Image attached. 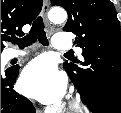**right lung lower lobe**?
Segmentation results:
<instances>
[{
  "label": "right lung lower lobe",
  "instance_id": "98d812e1",
  "mask_svg": "<svg viewBox=\"0 0 121 113\" xmlns=\"http://www.w3.org/2000/svg\"><path fill=\"white\" fill-rule=\"evenodd\" d=\"M19 67L1 74V113H35L32 103L13 90Z\"/></svg>",
  "mask_w": 121,
  "mask_h": 113
}]
</instances>
